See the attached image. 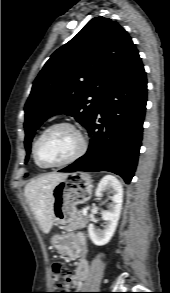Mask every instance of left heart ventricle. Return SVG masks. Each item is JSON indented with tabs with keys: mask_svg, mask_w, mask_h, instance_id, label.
Instances as JSON below:
<instances>
[{
	"mask_svg": "<svg viewBox=\"0 0 170 293\" xmlns=\"http://www.w3.org/2000/svg\"><path fill=\"white\" fill-rule=\"evenodd\" d=\"M80 145V139L74 131L66 127L55 128L42 139L38 149L39 158L45 163H58L72 157Z\"/></svg>",
	"mask_w": 170,
	"mask_h": 293,
	"instance_id": "1",
	"label": "left heart ventricle"
}]
</instances>
